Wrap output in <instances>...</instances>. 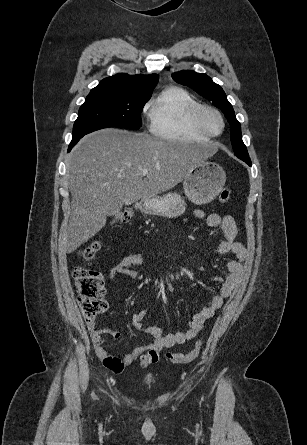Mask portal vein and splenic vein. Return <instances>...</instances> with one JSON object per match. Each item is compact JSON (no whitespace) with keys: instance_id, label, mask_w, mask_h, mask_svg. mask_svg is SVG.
Segmentation results:
<instances>
[{"instance_id":"18ae733b","label":"portal vein and splenic vein","mask_w":307,"mask_h":445,"mask_svg":"<svg viewBox=\"0 0 307 445\" xmlns=\"http://www.w3.org/2000/svg\"><path fill=\"white\" fill-rule=\"evenodd\" d=\"M141 170V174H143V176H146V174H148L149 170L148 168H140Z\"/></svg>"}]
</instances>
